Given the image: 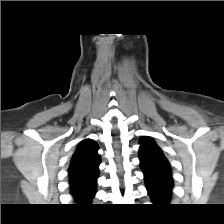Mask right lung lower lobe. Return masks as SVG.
Returning <instances> with one entry per match:
<instances>
[{"instance_id": "obj_1", "label": "right lung lower lobe", "mask_w": 224, "mask_h": 224, "mask_svg": "<svg viewBox=\"0 0 224 224\" xmlns=\"http://www.w3.org/2000/svg\"><path fill=\"white\" fill-rule=\"evenodd\" d=\"M93 196H94V194L90 197H81V198H76V199L79 201H82V202H86V201H90Z\"/></svg>"}]
</instances>
